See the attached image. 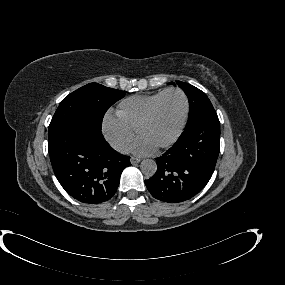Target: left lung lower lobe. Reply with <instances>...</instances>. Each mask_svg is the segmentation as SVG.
Instances as JSON below:
<instances>
[{
    "label": "left lung lower lobe",
    "mask_w": 285,
    "mask_h": 285,
    "mask_svg": "<svg viewBox=\"0 0 285 285\" xmlns=\"http://www.w3.org/2000/svg\"><path fill=\"white\" fill-rule=\"evenodd\" d=\"M220 151V122L216 113L186 127L176 143L156 158L157 171L145 180L151 195L164 202L191 199L210 180Z\"/></svg>",
    "instance_id": "left-lung-lower-lobe-1"
}]
</instances>
